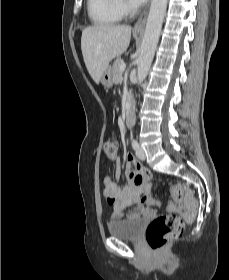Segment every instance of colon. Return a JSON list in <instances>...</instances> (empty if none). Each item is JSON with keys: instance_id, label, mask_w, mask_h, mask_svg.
<instances>
[{"instance_id": "1", "label": "colon", "mask_w": 229, "mask_h": 280, "mask_svg": "<svg viewBox=\"0 0 229 280\" xmlns=\"http://www.w3.org/2000/svg\"><path fill=\"white\" fill-rule=\"evenodd\" d=\"M103 150L107 158L113 157L115 143L107 140ZM151 181L152 179L148 175L138 174L134 178V182L137 185L143 182L150 183ZM170 193L178 205L180 216L172 214L159 216L149 224L146 230V239L151 249L155 252L160 251L172 239L178 237L182 233L185 223L192 221L199 211V203L188 185L183 183L172 184ZM151 204L158 205L159 201L152 199Z\"/></svg>"}]
</instances>
